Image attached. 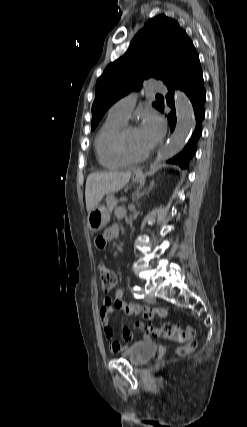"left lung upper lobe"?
<instances>
[{
	"instance_id": "1",
	"label": "left lung upper lobe",
	"mask_w": 247,
	"mask_h": 427,
	"mask_svg": "<svg viewBox=\"0 0 247 427\" xmlns=\"http://www.w3.org/2000/svg\"><path fill=\"white\" fill-rule=\"evenodd\" d=\"M198 56L188 35L177 21L165 15L148 21L133 39L124 56L107 66L96 84L92 105V130L107 109L144 80L155 78L165 84L176 79ZM157 109L161 106L154 102Z\"/></svg>"
}]
</instances>
